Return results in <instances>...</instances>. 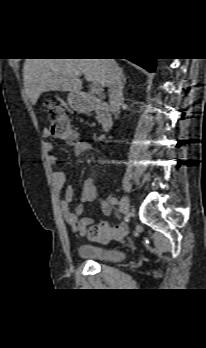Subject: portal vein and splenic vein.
<instances>
[{
  "label": "portal vein and splenic vein",
  "mask_w": 206,
  "mask_h": 348,
  "mask_svg": "<svg viewBox=\"0 0 206 348\" xmlns=\"http://www.w3.org/2000/svg\"><path fill=\"white\" fill-rule=\"evenodd\" d=\"M92 90L96 93H100L102 91V86L99 83H93Z\"/></svg>",
  "instance_id": "1"
}]
</instances>
